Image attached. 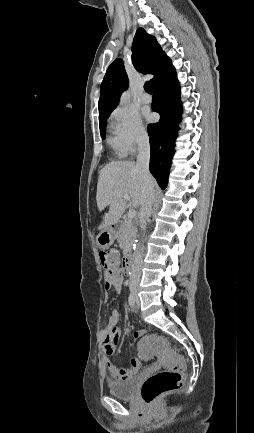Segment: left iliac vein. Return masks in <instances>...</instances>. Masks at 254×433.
Here are the masks:
<instances>
[{"instance_id": "left-iliac-vein-1", "label": "left iliac vein", "mask_w": 254, "mask_h": 433, "mask_svg": "<svg viewBox=\"0 0 254 433\" xmlns=\"http://www.w3.org/2000/svg\"><path fill=\"white\" fill-rule=\"evenodd\" d=\"M139 305V299L136 297V307Z\"/></svg>"}]
</instances>
